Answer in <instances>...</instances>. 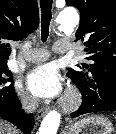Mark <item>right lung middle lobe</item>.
Instances as JSON below:
<instances>
[{"label":"right lung middle lobe","instance_id":"dd1d6c3e","mask_svg":"<svg viewBox=\"0 0 116 134\" xmlns=\"http://www.w3.org/2000/svg\"><path fill=\"white\" fill-rule=\"evenodd\" d=\"M11 77L7 64L0 65V104L11 103L17 97Z\"/></svg>","mask_w":116,"mask_h":134}]
</instances>
